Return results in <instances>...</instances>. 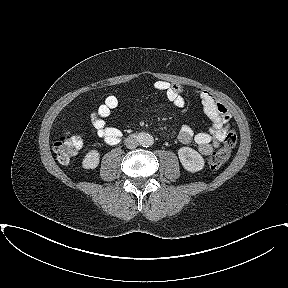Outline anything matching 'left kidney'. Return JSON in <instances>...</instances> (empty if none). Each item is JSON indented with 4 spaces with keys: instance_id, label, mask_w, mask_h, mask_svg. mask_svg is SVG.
I'll list each match as a JSON object with an SVG mask.
<instances>
[{
    "instance_id": "5707ae66",
    "label": "left kidney",
    "mask_w": 288,
    "mask_h": 288,
    "mask_svg": "<svg viewBox=\"0 0 288 288\" xmlns=\"http://www.w3.org/2000/svg\"><path fill=\"white\" fill-rule=\"evenodd\" d=\"M178 156L182 166L189 172L195 173L204 168V159L197 151L190 147H182L178 150Z\"/></svg>"
}]
</instances>
